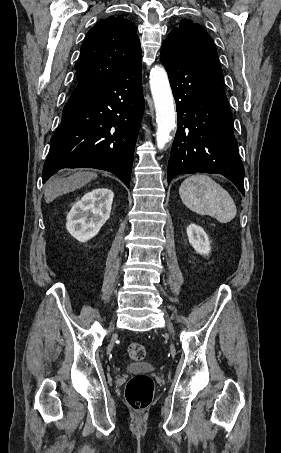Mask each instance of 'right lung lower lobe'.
Returning <instances> with one entry per match:
<instances>
[{
  "label": "right lung lower lobe",
  "instance_id": "right-lung-lower-lobe-1",
  "mask_svg": "<svg viewBox=\"0 0 281 453\" xmlns=\"http://www.w3.org/2000/svg\"><path fill=\"white\" fill-rule=\"evenodd\" d=\"M144 111L141 58L116 78L78 83L64 106L43 167V183L63 168L114 173L127 187Z\"/></svg>",
  "mask_w": 281,
  "mask_h": 453
}]
</instances>
